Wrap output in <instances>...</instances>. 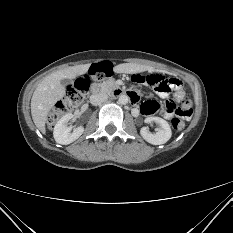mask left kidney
<instances>
[{
  "mask_svg": "<svg viewBox=\"0 0 233 233\" xmlns=\"http://www.w3.org/2000/svg\"><path fill=\"white\" fill-rule=\"evenodd\" d=\"M155 122L159 128L155 133H151L147 127L140 130L141 136L150 144L160 145L166 143L172 136L171 128L167 121L160 117H147L145 123Z\"/></svg>",
  "mask_w": 233,
  "mask_h": 233,
  "instance_id": "1",
  "label": "left kidney"
}]
</instances>
